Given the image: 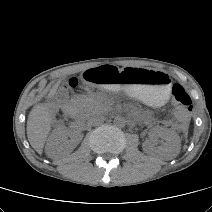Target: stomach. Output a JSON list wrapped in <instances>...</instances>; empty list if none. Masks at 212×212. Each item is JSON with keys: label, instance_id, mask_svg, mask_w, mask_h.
Listing matches in <instances>:
<instances>
[{"label": "stomach", "instance_id": "stomach-1", "mask_svg": "<svg viewBox=\"0 0 212 212\" xmlns=\"http://www.w3.org/2000/svg\"><path fill=\"white\" fill-rule=\"evenodd\" d=\"M81 80L86 85L99 84L125 92L153 106L163 105L171 88L170 78L164 72L109 63L88 68Z\"/></svg>", "mask_w": 212, "mask_h": 212}]
</instances>
